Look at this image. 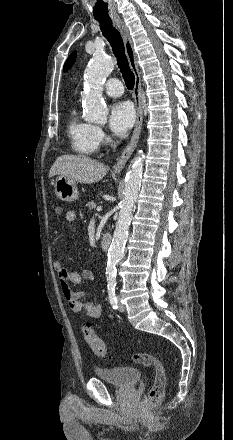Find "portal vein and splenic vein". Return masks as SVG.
<instances>
[{
    "label": "portal vein and splenic vein",
    "instance_id": "1",
    "mask_svg": "<svg viewBox=\"0 0 233 440\" xmlns=\"http://www.w3.org/2000/svg\"><path fill=\"white\" fill-rule=\"evenodd\" d=\"M101 210H102L101 206H98L97 211H101Z\"/></svg>",
    "mask_w": 233,
    "mask_h": 440
}]
</instances>
